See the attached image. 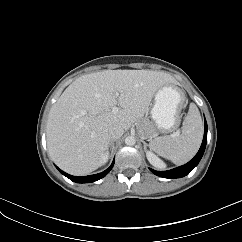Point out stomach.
Wrapping results in <instances>:
<instances>
[{"mask_svg":"<svg viewBox=\"0 0 242 242\" xmlns=\"http://www.w3.org/2000/svg\"><path fill=\"white\" fill-rule=\"evenodd\" d=\"M185 101V94L177 86H162L155 94V103L151 110V117L155 123L154 134L147 138L155 137L160 132L168 133L175 130L179 126Z\"/></svg>","mask_w":242,"mask_h":242,"instance_id":"1","label":"stomach"}]
</instances>
